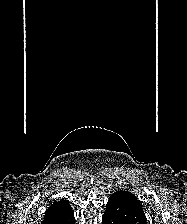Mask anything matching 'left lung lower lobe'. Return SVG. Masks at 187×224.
Wrapping results in <instances>:
<instances>
[{
    "label": "left lung lower lobe",
    "instance_id": "obj_1",
    "mask_svg": "<svg viewBox=\"0 0 187 224\" xmlns=\"http://www.w3.org/2000/svg\"><path fill=\"white\" fill-rule=\"evenodd\" d=\"M141 204L127 191L113 193L106 205L102 224H147Z\"/></svg>",
    "mask_w": 187,
    "mask_h": 224
}]
</instances>
